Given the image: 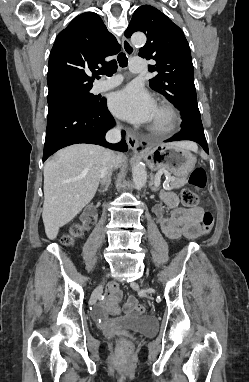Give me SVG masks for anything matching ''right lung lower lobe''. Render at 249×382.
I'll list each match as a JSON object with an SVG mask.
<instances>
[{
	"label": "right lung lower lobe",
	"mask_w": 249,
	"mask_h": 382,
	"mask_svg": "<svg viewBox=\"0 0 249 382\" xmlns=\"http://www.w3.org/2000/svg\"><path fill=\"white\" fill-rule=\"evenodd\" d=\"M114 125V118L107 109L105 99L98 101L92 111H75L47 121L43 161L57 150L77 143L99 144L127 151L124 138L118 144H110L105 140L106 132Z\"/></svg>",
	"instance_id": "obj_1"
}]
</instances>
